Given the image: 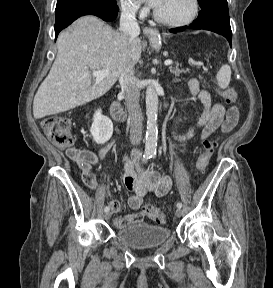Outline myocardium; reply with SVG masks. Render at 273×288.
I'll use <instances>...</instances> for the list:
<instances>
[{
    "label": "myocardium",
    "mask_w": 273,
    "mask_h": 288,
    "mask_svg": "<svg viewBox=\"0 0 273 288\" xmlns=\"http://www.w3.org/2000/svg\"><path fill=\"white\" fill-rule=\"evenodd\" d=\"M192 2H193V11L187 18H185L183 20L175 21V20L165 19L157 13L156 9H154V11H153V17L157 22H159L163 25H166V26H170V27L186 26L195 20V18L198 16V13L200 10L199 0H192Z\"/></svg>",
    "instance_id": "f54148a6"
}]
</instances>
